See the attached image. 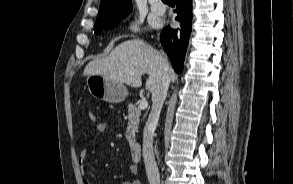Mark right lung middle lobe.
Instances as JSON below:
<instances>
[{
  "instance_id": "dd1d6c3e",
  "label": "right lung middle lobe",
  "mask_w": 293,
  "mask_h": 184,
  "mask_svg": "<svg viewBox=\"0 0 293 184\" xmlns=\"http://www.w3.org/2000/svg\"><path fill=\"white\" fill-rule=\"evenodd\" d=\"M124 19V18H122ZM122 19L110 22V23H106V24H95L94 26V31L96 34H100L104 29H111L113 28L115 25H117Z\"/></svg>"
}]
</instances>
